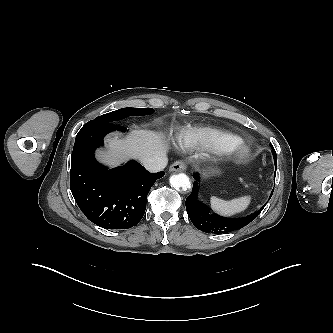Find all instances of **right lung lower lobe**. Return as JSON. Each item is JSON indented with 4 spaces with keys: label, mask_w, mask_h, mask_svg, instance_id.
I'll use <instances>...</instances> for the list:
<instances>
[{
    "label": "right lung lower lobe",
    "mask_w": 333,
    "mask_h": 333,
    "mask_svg": "<svg viewBox=\"0 0 333 333\" xmlns=\"http://www.w3.org/2000/svg\"><path fill=\"white\" fill-rule=\"evenodd\" d=\"M115 123L87 122L78 132L71 159L70 188L85 216L106 229H128L142 219L147 194L164 172L150 173L136 161L108 170L99 164L94 151Z\"/></svg>",
    "instance_id": "1"
}]
</instances>
